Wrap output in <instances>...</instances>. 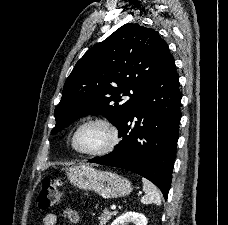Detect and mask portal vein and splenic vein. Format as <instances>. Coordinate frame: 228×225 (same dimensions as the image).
<instances>
[{
    "instance_id": "18ae733b",
    "label": "portal vein and splenic vein",
    "mask_w": 228,
    "mask_h": 225,
    "mask_svg": "<svg viewBox=\"0 0 228 225\" xmlns=\"http://www.w3.org/2000/svg\"><path fill=\"white\" fill-rule=\"evenodd\" d=\"M135 199H136V200H139V199H140V196H139V195H136V196H135ZM116 207H117L116 204H110V205H109V208H110V209H116Z\"/></svg>"
}]
</instances>
